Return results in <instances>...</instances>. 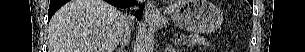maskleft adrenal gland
Masks as SVG:
<instances>
[{
	"label": "left adrenal gland",
	"mask_w": 305,
	"mask_h": 52,
	"mask_svg": "<svg viewBox=\"0 0 305 52\" xmlns=\"http://www.w3.org/2000/svg\"><path fill=\"white\" fill-rule=\"evenodd\" d=\"M166 51H168V52H180V50L174 48L173 46H168L166 48Z\"/></svg>",
	"instance_id": "1"
}]
</instances>
